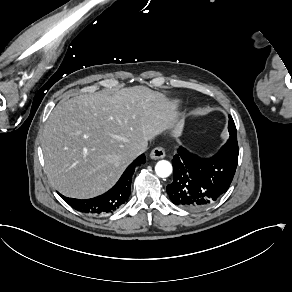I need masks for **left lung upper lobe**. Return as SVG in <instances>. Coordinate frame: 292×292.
<instances>
[{"label": "left lung upper lobe", "instance_id": "left-lung-upper-lobe-1", "mask_svg": "<svg viewBox=\"0 0 292 292\" xmlns=\"http://www.w3.org/2000/svg\"><path fill=\"white\" fill-rule=\"evenodd\" d=\"M228 129H229L230 136H229V139L225 145L231 146L233 148H238L236 127H235V123H234L231 116H229Z\"/></svg>", "mask_w": 292, "mask_h": 292}]
</instances>
